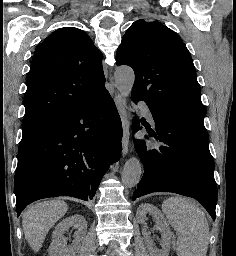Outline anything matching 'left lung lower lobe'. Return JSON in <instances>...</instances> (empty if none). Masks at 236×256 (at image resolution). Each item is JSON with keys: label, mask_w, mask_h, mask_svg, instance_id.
Listing matches in <instances>:
<instances>
[{"label": "left lung lower lobe", "mask_w": 236, "mask_h": 256, "mask_svg": "<svg viewBox=\"0 0 236 256\" xmlns=\"http://www.w3.org/2000/svg\"><path fill=\"white\" fill-rule=\"evenodd\" d=\"M131 99L135 103L139 101ZM150 111L156 132L149 130L148 133L160 145L153 148L144 140H135L144 174L132 200L151 192H173L198 200L215 219L217 186L207 130L171 115ZM140 129L139 119L135 117L132 130Z\"/></svg>", "instance_id": "obj_1"}]
</instances>
